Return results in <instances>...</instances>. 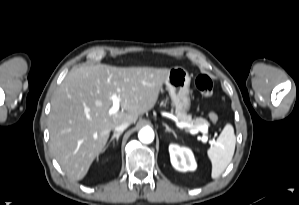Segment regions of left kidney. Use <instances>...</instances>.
Here are the masks:
<instances>
[{
    "instance_id": "obj_1",
    "label": "left kidney",
    "mask_w": 299,
    "mask_h": 205,
    "mask_svg": "<svg viewBox=\"0 0 299 205\" xmlns=\"http://www.w3.org/2000/svg\"><path fill=\"white\" fill-rule=\"evenodd\" d=\"M170 160L173 167L181 172L194 171L197 167L192 151L177 144L169 145Z\"/></svg>"
}]
</instances>
